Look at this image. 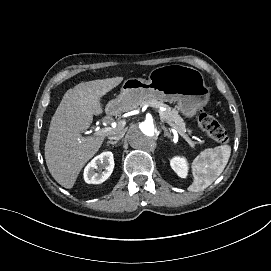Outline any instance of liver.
<instances>
[{
	"label": "liver",
	"instance_id": "1",
	"mask_svg": "<svg viewBox=\"0 0 271 271\" xmlns=\"http://www.w3.org/2000/svg\"><path fill=\"white\" fill-rule=\"evenodd\" d=\"M122 80L115 77L82 82L63 96L50 123L45 159L52 177L64 188L73 187L85 163L101 147L104 136L82 137L80 133L89 128L93 115L102 113L100 98Z\"/></svg>",
	"mask_w": 271,
	"mask_h": 271
}]
</instances>
